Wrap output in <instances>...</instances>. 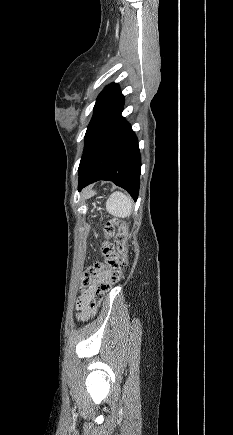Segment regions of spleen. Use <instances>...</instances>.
Masks as SVG:
<instances>
[{
    "label": "spleen",
    "mask_w": 233,
    "mask_h": 435,
    "mask_svg": "<svg viewBox=\"0 0 233 435\" xmlns=\"http://www.w3.org/2000/svg\"><path fill=\"white\" fill-rule=\"evenodd\" d=\"M106 209L109 214L115 217H129L132 213L133 202L129 196L116 191L108 198Z\"/></svg>",
    "instance_id": "obj_1"
}]
</instances>
